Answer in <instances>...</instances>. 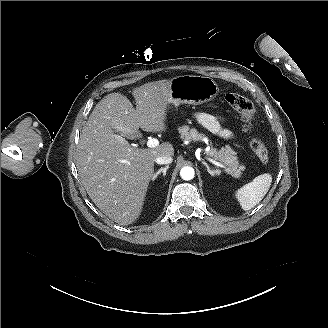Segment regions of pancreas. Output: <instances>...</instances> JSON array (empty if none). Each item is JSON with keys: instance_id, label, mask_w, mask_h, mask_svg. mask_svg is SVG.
<instances>
[{"instance_id": "pancreas-1", "label": "pancreas", "mask_w": 328, "mask_h": 328, "mask_svg": "<svg viewBox=\"0 0 328 328\" xmlns=\"http://www.w3.org/2000/svg\"><path fill=\"white\" fill-rule=\"evenodd\" d=\"M178 132L180 138L186 141H202L205 138L204 134L199 133L195 128L190 129L187 125L179 127ZM207 155L226 165L227 173L235 178L241 177L242 171L245 170V166L239 164L236 152L229 145L220 150L211 147Z\"/></svg>"}]
</instances>
